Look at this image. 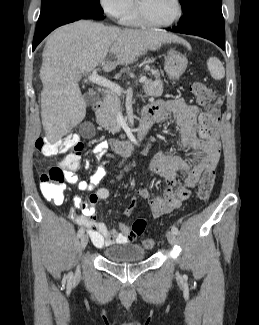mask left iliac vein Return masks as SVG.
Here are the masks:
<instances>
[{"mask_svg":"<svg viewBox=\"0 0 259 325\" xmlns=\"http://www.w3.org/2000/svg\"><path fill=\"white\" fill-rule=\"evenodd\" d=\"M166 237L168 242L173 245L176 242V234L173 233V231H167Z\"/></svg>","mask_w":259,"mask_h":325,"instance_id":"obj_1","label":"left iliac vein"}]
</instances>
